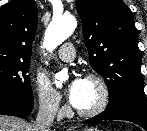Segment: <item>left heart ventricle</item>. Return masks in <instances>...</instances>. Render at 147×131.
I'll return each instance as SVG.
<instances>
[{
    "label": "left heart ventricle",
    "instance_id": "b2bd125f",
    "mask_svg": "<svg viewBox=\"0 0 147 131\" xmlns=\"http://www.w3.org/2000/svg\"><path fill=\"white\" fill-rule=\"evenodd\" d=\"M98 100L99 90L97 86L93 82L86 80L85 91L78 108L82 110L90 109L97 104Z\"/></svg>",
    "mask_w": 147,
    "mask_h": 131
}]
</instances>
